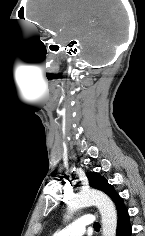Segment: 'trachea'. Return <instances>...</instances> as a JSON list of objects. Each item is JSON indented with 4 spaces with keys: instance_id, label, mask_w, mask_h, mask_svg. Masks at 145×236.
Masks as SVG:
<instances>
[{
    "instance_id": "obj_1",
    "label": "trachea",
    "mask_w": 145,
    "mask_h": 236,
    "mask_svg": "<svg viewBox=\"0 0 145 236\" xmlns=\"http://www.w3.org/2000/svg\"><path fill=\"white\" fill-rule=\"evenodd\" d=\"M93 226L94 228H100V224L98 222H95Z\"/></svg>"
}]
</instances>
